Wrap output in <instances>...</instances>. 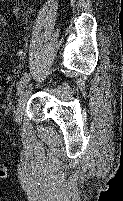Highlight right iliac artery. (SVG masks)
Returning <instances> with one entry per match:
<instances>
[{
	"label": "right iliac artery",
	"instance_id": "right-iliac-artery-1",
	"mask_svg": "<svg viewBox=\"0 0 123 201\" xmlns=\"http://www.w3.org/2000/svg\"><path fill=\"white\" fill-rule=\"evenodd\" d=\"M29 80H30L29 75H25L24 77L21 78V80L18 84V87H17L18 95L22 92V90L24 89V87L26 86V84L28 83Z\"/></svg>",
	"mask_w": 123,
	"mask_h": 201
}]
</instances>
